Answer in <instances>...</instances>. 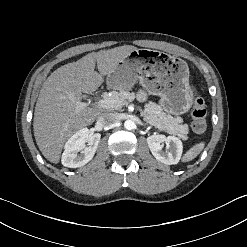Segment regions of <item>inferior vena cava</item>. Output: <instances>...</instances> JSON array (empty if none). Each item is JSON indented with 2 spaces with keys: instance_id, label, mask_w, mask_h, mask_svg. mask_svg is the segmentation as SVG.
<instances>
[{
  "instance_id": "inferior-vena-cava-1",
  "label": "inferior vena cava",
  "mask_w": 247,
  "mask_h": 247,
  "mask_svg": "<svg viewBox=\"0 0 247 247\" xmlns=\"http://www.w3.org/2000/svg\"><path fill=\"white\" fill-rule=\"evenodd\" d=\"M118 116L115 113H104L98 117V123L101 126H109L118 122Z\"/></svg>"
}]
</instances>
